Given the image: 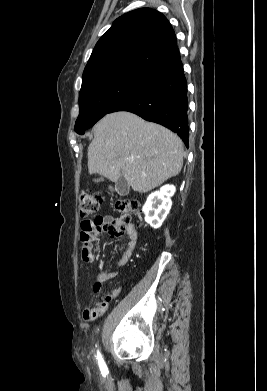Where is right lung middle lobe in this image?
<instances>
[{"label":"right lung middle lobe","instance_id":"right-lung-middle-lobe-1","mask_svg":"<svg viewBox=\"0 0 267 391\" xmlns=\"http://www.w3.org/2000/svg\"><path fill=\"white\" fill-rule=\"evenodd\" d=\"M148 76L149 74L134 71H118L96 76L82 84L75 131L83 134L138 89Z\"/></svg>","mask_w":267,"mask_h":391}]
</instances>
